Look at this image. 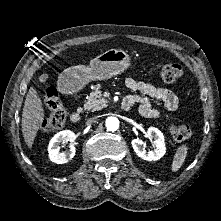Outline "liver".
Listing matches in <instances>:
<instances>
[{"instance_id": "obj_1", "label": "liver", "mask_w": 221, "mask_h": 221, "mask_svg": "<svg viewBox=\"0 0 221 221\" xmlns=\"http://www.w3.org/2000/svg\"><path fill=\"white\" fill-rule=\"evenodd\" d=\"M44 117L45 113L42 100L37 91L31 87L26 95L21 121L23 137L28 148H32L37 132L44 121Z\"/></svg>"}]
</instances>
